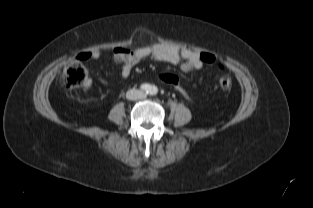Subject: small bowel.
<instances>
[{
	"label": "small bowel",
	"instance_id": "c3829d8e",
	"mask_svg": "<svg viewBox=\"0 0 313 208\" xmlns=\"http://www.w3.org/2000/svg\"><path fill=\"white\" fill-rule=\"evenodd\" d=\"M100 56L101 54L98 50H93L82 53L80 58L83 60H97ZM148 57L169 64H180L183 71L199 70L204 64L200 59V53L187 48L178 49L174 46L162 43H155L132 50L124 47H116L113 49L114 61L122 65L121 75L123 78H127L133 67ZM89 86L90 83L88 82L86 88Z\"/></svg>",
	"mask_w": 313,
	"mask_h": 208
}]
</instances>
